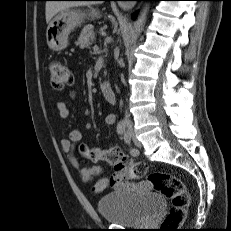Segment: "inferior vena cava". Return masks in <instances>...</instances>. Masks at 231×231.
Instances as JSON below:
<instances>
[{
  "label": "inferior vena cava",
  "mask_w": 231,
  "mask_h": 231,
  "mask_svg": "<svg viewBox=\"0 0 231 231\" xmlns=\"http://www.w3.org/2000/svg\"><path fill=\"white\" fill-rule=\"evenodd\" d=\"M125 123H126L127 125H130V124H131V121H130V119H129V114H128L127 111H126V113H125Z\"/></svg>",
  "instance_id": "obj_1"
}]
</instances>
